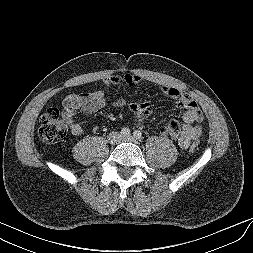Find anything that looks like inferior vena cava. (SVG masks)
<instances>
[{
    "label": "inferior vena cava",
    "mask_w": 253,
    "mask_h": 253,
    "mask_svg": "<svg viewBox=\"0 0 253 253\" xmlns=\"http://www.w3.org/2000/svg\"><path fill=\"white\" fill-rule=\"evenodd\" d=\"M115 136H117V133H116V132H115V133L110 134V135H109V138H113V137H115Z\"/></svg>",
    "instance_id": "602c4592"
}]
</instances>
